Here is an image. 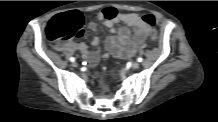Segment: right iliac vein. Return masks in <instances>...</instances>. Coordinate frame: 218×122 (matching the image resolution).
<instances>
[{
  "label": "right iliac vein",
  "instance_id": "1",
  "mask_svg": "<svg viewBox=\"0 0 218 122\" xmlns=\"http://www.w3.org/2000/svg\"><path fill=\"white\" fill-rule=\"evenodd\" d=\"M72 66H73V67H77V66H78L77 62H73V63H72Z\"/></svg>",
  "mask_w": 218,
  "mask_h": 122
}]
</instances>
